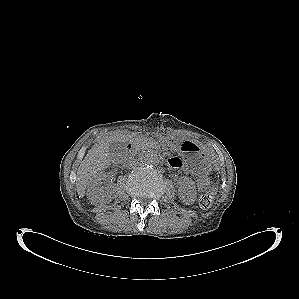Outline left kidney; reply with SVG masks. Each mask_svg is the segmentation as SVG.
<instances>
[{"label":"left kidney","mask_w":299,"mask_h":299,"mask_svg":"<svg viewBox=\"0 0 299 299\" xmlns=\"http://www.w3.org/2000/svg\"><path fill=\"white\" fill-rule=\"evenodd\" d=\"M195 183L188 177L179 180L178 197L185 204H193L196 199Z\"/></svg>","instance_id":"left-kidney-1"}]
</instances>
